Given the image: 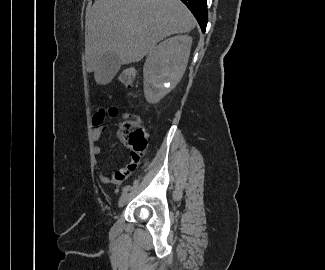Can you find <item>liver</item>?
<instances>
[{
  "label": "liver",
  "instance_id": "1",
  "mask_svg": "<svg viewBox=\"0 0 325 270\" xmlns=\"http://www.w3.org/2000/svg\"><path fill=\"white\" fill-rule=\"evenodd\" d=\"M85 26L87 71L107 84L112 79L98 72L104 54L122 65L139 62L164 38L191 31L196 20L180 0H95Z\"/></svg>",
  "mask_w": 325,
  "mask_h": 270
}]
</instances>
